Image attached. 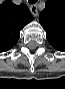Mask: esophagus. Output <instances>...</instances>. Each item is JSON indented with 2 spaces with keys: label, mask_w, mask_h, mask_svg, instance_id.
<instances>
[{
  "label": "esophagus",
  "mask_w": 65,
  "mask_h": 89,
  "mask_svg": "<svg viewBox=\"0 0 65 89\" xmlns=\"http://www.w3.org/2000/svg\"><path fill=\"white\" fill-rule=\"evenodd\" d=\"M30 11L34 16H37L38 15L37 5L36 4L31 5L30 6Z\"/></svg>",
  "instance_id": "1"
}]
</instances>
